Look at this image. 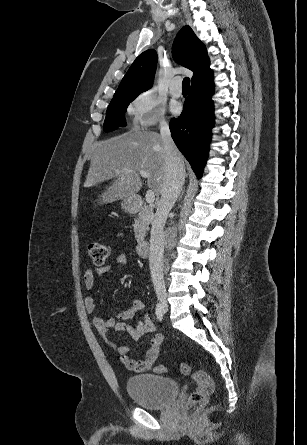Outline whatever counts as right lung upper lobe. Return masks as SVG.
Here are the masks:
<instances>
[{"label":"right lung upper lobe","mask_w":307,"mask_h":445,"mask_svg":"<svg viewBox=\"0 0 307 445\" xmlns=\"http://www.w3.org/2000/svg\"><path fill=\"white\" fill-rule=\"evenodd\" d=\"M176 62L194 72L192 81L209 71V57L205 45L197 38L189 26H184L178 33L173 47ZM157 64V54L149 49L139 55L122 79L112 101L127 97H137L152 86Z\"/></svg>","instance_id":"right-lung-upper-lobe-1"}]
</instances>
